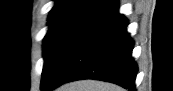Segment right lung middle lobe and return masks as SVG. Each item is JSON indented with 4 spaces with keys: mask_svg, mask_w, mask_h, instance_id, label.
<instances>
[{
    "mask_svg": "<svg viewBox=\"0 0 173 91\" xmlns=\"http://www.w3.org/2000/svg\"><path fill=\"white\" fill-rule=\"evenodd\" d=\"M115 4V0H107L103 3V6L112 7ZM84 24L82 22L50 24L49 30L44 38V67L41 83L45 82L51 75L56 63L68 47L70 41Z\"/></svg>",
    "mask_w": 173,
    "mask_h": 91,
    "instance_id": "right-lung-middle-lobe-1",
    "label": "right lung middle lobe"
}]
</instances>
